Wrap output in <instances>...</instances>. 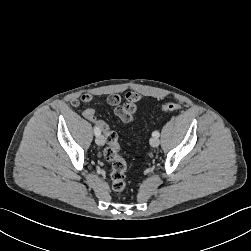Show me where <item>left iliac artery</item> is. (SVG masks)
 <instances>
[{
	"mask_svg": "<svg viewBox=\"0 0 251 251\" xmlns=\"http://www.w3.org/2000/svg\"><path fill=\"white\" fill-rule=\"evenodd\" d=\"M152 136H153V137H159V136H160V133H159L158 131H154V132L152 133Z\"/></svg>",
	"mask_w": 251,
	"mask_h": 251,
	"instance_id": "obj_1",
	"label": "left iliac artery"
}]
</instances>
